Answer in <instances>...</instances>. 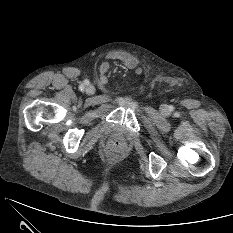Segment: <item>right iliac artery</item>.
I'll return each instance as SVG.
<instances>
[{
  "label": "right iliac artery",
  "instance_id": "82829eb1",
  "mask_svg": "<svg viewBox=\"0 0 233 233\" xmlns=\"http://www.w3.org/2000/svg\"><path fill=\"white\" fill-rule=\"evenodd\" d=\"M88 83H89V82H88L87 80L84 81V82L79 86V89H80V90H84L85 86L88 85Z\"/></svg>",
  "mask_w": 233,
  "mask_h": 233
}]
</instances>
